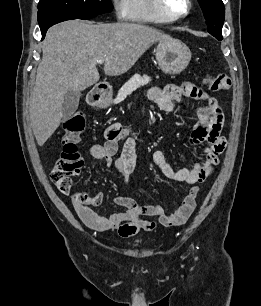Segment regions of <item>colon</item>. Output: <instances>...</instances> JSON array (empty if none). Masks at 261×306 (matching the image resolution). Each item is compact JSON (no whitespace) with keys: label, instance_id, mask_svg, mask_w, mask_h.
<instances>
[{"label":"colon","instance_id":"1","mask_svg":"<svg viewBox=\"0 0 261 306\" xmlns=\"http://www.w3.org/2000/svg\"><path fill=\"white\" fill-rule=\"evenodd\" d=\"M212 91H224L230 88L231 79L227 74H217L206 79ZM85 128V117L81 112H75L65 123V134L63 137V148L59 159L50 172L53 184L63 193H69L71 177L80 173L83 159L78 151L77 143L79 135ZM73 200L82 204L96 205L100 202L97 195L87 196L75 194Z\"/></svg>","mask_w":261,"mask_h":306}]
</instances>
